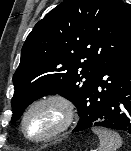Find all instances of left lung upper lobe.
<instances>
[{
  "label": "left lung upper lobe",
  "mask_w": 131,
  "mask_h": 151,
  "mask_svg": "<svg viewBox=\"0 0 131 151\" xmlns=\"http://www.w3.org/2000/svg\"><path fill=\"white\" fill-rule=\"evenodd\" d=\"M131 45V14L122 0H65L28 35L13 75L11 122L45 95L60 94L83 112L104 63Z\"/></svg>",
  "instance_id": "1"
}]
</instances>
